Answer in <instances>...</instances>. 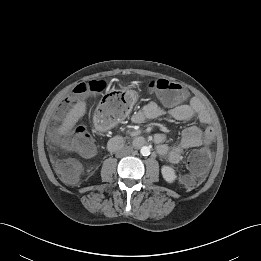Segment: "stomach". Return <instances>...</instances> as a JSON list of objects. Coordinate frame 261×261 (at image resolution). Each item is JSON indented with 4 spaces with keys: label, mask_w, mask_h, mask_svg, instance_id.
I'll return each mask as SVG.
<instances>
[{
    "label": "stomach",
    "mask_w": 261,
    "mask_h": 261,
    "mask_svg": "<svg viewBox=\"0 0 261 261\" xmlns=\"http://www.w3.org/2000/svg\"><path fill=\"white\" fill-rule=\"evenodd\" d=\"M124 98L128 102L129 107H132L137 100V94L135 91L130 90L124 94ZM94 126L97 131L104 132L110 129L113 126V123L105 120L99 113H97L94 117Z\"/></svg>",
    "instance_id": "0dacf381"
}]
</instances>
